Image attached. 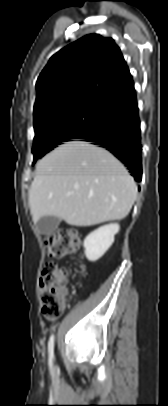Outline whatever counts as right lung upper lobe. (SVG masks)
<instances>
[{
	"label": "right lung upper lobe",
	"mask_w": 168,
	"mask_h": 406,
	"mask_svg": "<svg viewBox=\"0 0 168 406\" xmlns=\"http://www.w3.org/2000/svg\"><path fill=\"white\" fill-rule=\"evenodd\" d=\"M131 86L132 76L114 40L86 35L54 54L38 77L34 122L79 101H106Z\"/></svg>",
	"instance_id": "right-lung-upper-lobe-1"
}]
</instances>
